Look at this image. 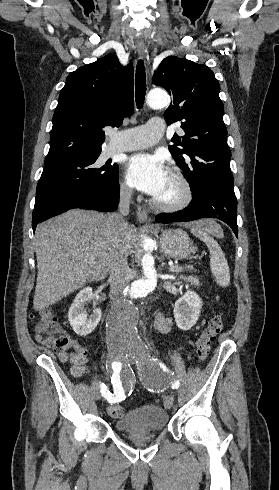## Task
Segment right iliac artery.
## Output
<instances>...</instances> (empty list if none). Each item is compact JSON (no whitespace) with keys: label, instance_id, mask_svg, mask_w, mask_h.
I'll use <instances>...</instances> for the list:
<instances>
[{"label":"right iliac artery","instance_id":"1","mask_svg":"<svg viewBox=\"0 0 279 490\" xmlns=\"http://www.w3.org/2000/svg\"><path fill=\"white\" fill-rule=\"evenodd\" d=\"M113 369V374L111 377V383L113 384V392L110 393L107 386L104 383L100 384V392L102 396L109 402H123V395L126 393V380L125 378H119V371L121 369V363L119 361H114L111 364Z\"/></svg>","mask_w":279,"mask_h":490}]
</instances>
